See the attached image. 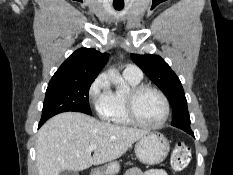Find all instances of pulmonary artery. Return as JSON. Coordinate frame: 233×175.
<instances>
[{
    "label": "pulmonary artery",
    "instance_id": "e3ab8cb5",
    "mask_svg": "<svg viewBox=\"0 0 233 175\" xmlns=\"http://www.w3.org/2000/svg\"><path fill=\"white\" fill-rule=\"evenodd\" d=\"M123 74L129 77L136 78V79L142 78L141 70L134 64H128L125 67Z\"/></svg>",
    "mask_w": 233,
    "mask_h": 175
}]
</instances>
